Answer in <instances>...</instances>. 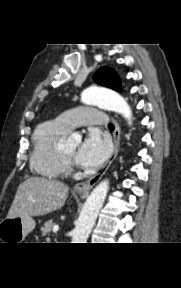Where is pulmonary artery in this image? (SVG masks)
<instances>
[{"label": "pulmonary artery", "instance_id": "e3ab8cb5", "mask_svg": "<svg viewBox=\"0 0 181 288\" xmlns=\"http://www.w3.org/2000/svg\"><path fill=\"white\" fill-rule=\"evenodd\" d=\"M56 121L66 130L77 126L106 125L104 113L95 108L77 107L66 111L56 117Z\"/></svg>", "mask_w": 181, "mask_h": 288}]
</instances>
